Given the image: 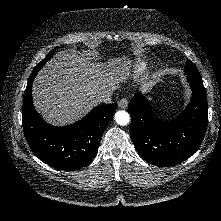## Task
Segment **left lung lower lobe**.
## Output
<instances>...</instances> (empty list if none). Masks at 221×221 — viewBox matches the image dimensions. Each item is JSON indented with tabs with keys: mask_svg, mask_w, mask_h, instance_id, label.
Segmentation results:
<instances>
[{
	"mask_svg": "<svg viewBox=\"0 0 221 221\" xmlns=\"http://www.w3.org/2000/svg\"><path fill=\"white\" fill-rule=\"evenodd\" d=\"M190 86V103L169 121L155 117L150 102L141 93H136L130 101L131 138L147 162L158 167L176 165L200 147L208 122L207 99L203 85L190 83Z\"/></svg>",
	"mask_w": 221,
	"mask_h": 221,
	"instance_id": "left-lung-lower-lobe-1",
	"label": "left lung lower lobe"
}]
</instances>
